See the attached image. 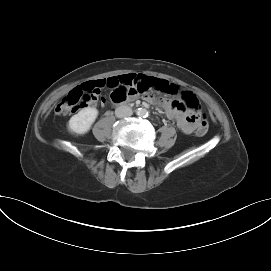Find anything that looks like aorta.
I'll return each mask as SVG.
<instances>
[{"mask_svg":"<svg viewBox=\"0 0 271 271\" xmlns=\"http://www.w3.org/2000/svg\"><path fill=\"white\" fill-rule=\"evenodd\" d=\"M147 110L146 109H139L138 110V112H137V114L139 115V116H146L147 115Z\"/></svg>","mask_w":271,"mask_h":271,"instance_id":"obj_1","label":"aorta"}]
</instances>
